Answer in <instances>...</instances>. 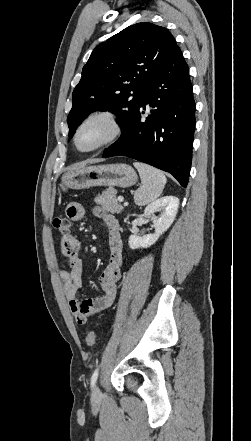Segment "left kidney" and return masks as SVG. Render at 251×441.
<instances>
[{
    "label": "left kidney",
    "instance_id": "1",
    "mask_svg": "<svg viewBox=\"0 0 251 441\" xmlns=\"http://www.w3.org/2000/svg\"><path fill=\"white\" fill-rule=\"evenodd\" d=\"M179 199L175 196H165L150 203L144 210V215L150 218L155 228V233L144 236L131 235L128 240L131 249L148 248L152 246L159 237L167 231L175 220L178 212ZM162 211L157 217L155 213Z\"/></svg>",
    "mask_w": 251,
    "mask_h": 441
}]
</instances>
